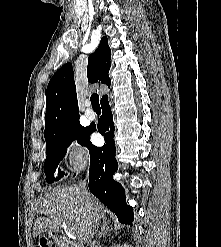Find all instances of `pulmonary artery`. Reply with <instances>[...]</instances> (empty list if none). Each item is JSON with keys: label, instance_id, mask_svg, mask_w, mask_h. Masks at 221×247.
<instances>
[{"label": "pulmonary artery", "instance_id": "e3ab8cb5", "mask_svg": "<svg viewBox=\"0 0 221 247\" xmlns=\"http://www.w3.org/2000/svg\"><path fill=\"white\" fill-rule=\"evenodd\" d=\"M85 116L89 119V120H94L96 118V114L95 112L91 109V108H87L85 110Z\"/></svg>", "mask_w": 221, "mask_h": 247}]
</instances>
